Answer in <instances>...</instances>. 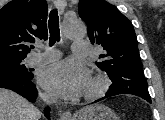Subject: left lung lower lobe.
Masks as SVG:
<instances>
[{
    "label": "left lung lower lobe",
    "instance_id": "left-lung-lower-lobe-1",
    "mask_svg": "<svg viewBox=\"0 0 165 120\" xmlns=\"http://www.w3.org/2000/svg\"><path fill=\"white\" fill-rule=\"evenodd\" d=\"M107 97H110V96L106 95L105 97L100 98V99L96 100L95 102L101 101V100H103V99H105V98H107ZM148 102H150V103H151V101H148Z\"/></svg>",
    "mask_w": 165,
    "mask_h": 120
}]
</instances>
